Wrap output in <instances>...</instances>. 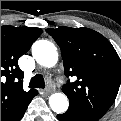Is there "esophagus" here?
Wrapping results in <instances>:
<instances>
[{
    "mask_svg": "<svg viewBox=\"0 0 121 121\" xmlns=\"http://www.w3.org/2000/svg\"><path fill=\"white\" fill-rule=\"evenodd\" d=\"M51 93V90L49 89V88H47L46 90H45V94H50Z\"/></svg>",
    "mask_w": 121,
    "mask_h": 121,
    "instance_id": "obj_1",
    "label": "esophagus"
}]
</instances>
